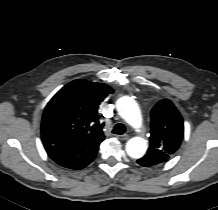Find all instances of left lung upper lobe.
I'll use <instances>...</instances> for the list:
<instances>
[{
    "label": "left lung upper lobe",
    "mask_w": 218,
    "mask_h": 210,
    "mask_svg": "<svg viewBox=\"0 0 218 210\" xmlns=\"http://www.w3.org/2000/svg\"><path fill=\"white\" fill-rule=\"evenodd\" d=\"M150 134V147L143 158L150 166L166 162L184 135L183 119L170 100H161L152 109Z\"/></svg>",
    "instance_id": "5c2ea615"
}]
</instances>
